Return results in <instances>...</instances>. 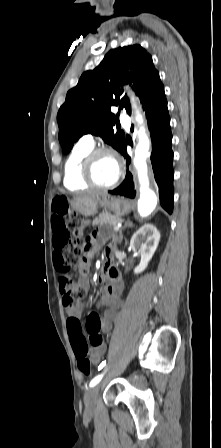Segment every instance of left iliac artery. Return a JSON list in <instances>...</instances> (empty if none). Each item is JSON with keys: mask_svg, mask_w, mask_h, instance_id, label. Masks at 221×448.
<instances>
[{"mask_svg": "<svg viewBox=\"0 0 221 448\" xmlns=\"http://www.w3.org/2000/svg\"><path fill=\"white\" fill-rule=\"evenodd\" d=\"M106 365L105 362H102L100 365V368L102 369L104 366ZM103 374L96 376L94 379H92V381L90 382V387L95 386L96 384H98L100 382V380L102 379Z\"/></svg>", "mask_w": 221, "mask_h": 448, "instance_id": "1", "label": "left iliac artery"}]
</instances>
